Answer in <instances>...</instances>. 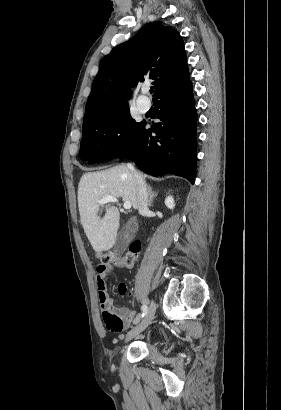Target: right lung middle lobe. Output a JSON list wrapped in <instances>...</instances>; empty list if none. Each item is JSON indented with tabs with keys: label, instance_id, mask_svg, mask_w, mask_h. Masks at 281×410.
Wrapping results in <instances>:
<instances>
[{
	"label": "right lung middle lobe",
	"instance_id": "dd1d6c3e",
	"mask_svg": "<svg viewBox=\"0 0 281 410\" xmlns=\"http://www.w3.org/2000/svg\"><path fill=\"white\" fill-rule=\"evenodd\" d=\"M143 123L135 122L126 107L83 124L80 158L84 161L103 162L119 157L128 148ZM111 133L114 136H111Z\"/></svg>",
	"mask_w": 281,
	"mask_h": 410
}]
</instances>
